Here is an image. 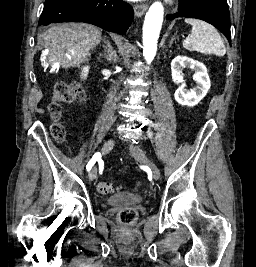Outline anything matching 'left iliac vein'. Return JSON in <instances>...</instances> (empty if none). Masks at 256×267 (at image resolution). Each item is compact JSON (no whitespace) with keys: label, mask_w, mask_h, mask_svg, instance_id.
Masks as SVG:
<instances>
[{"label":"left iliac vein","mask_w":256,"mask_h":267,"mask_svg":"<svg viewBox=\"0 0 256 267\" xmlns=\"http://www.w3.org/2000/svg\"><path fill=\"white\" fill-rule=\"evenodd\" d=\"M130 153L132 157L139 161L141 164L148 165L150 167L155 180H158L160 178V172L158 167L155 163L149 160V158L140 148H138L137 146H132L130 148Z\"/></svg>","instance_id":"4c4485c4"}]
</instances>
